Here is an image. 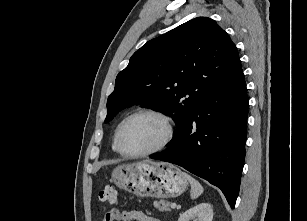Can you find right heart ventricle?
<instances>
[{"label": "right heart ventricle", "mask_w": 307, "mask_h": 221, "mask_svg": "<svg viewBox=\"0 0 307 221\" xmlns=\"http://www.w3.org/2000/svg\"><path fill=\"white\" fill-rule=\"evenodd\" d=\"M124 120H125V119H122V120L117 124V126H116V128H115V131H114L113 142H112V149H113L115 152H118V151H117V147H116L117 133H118L119 128H120V126L122 125V123H123Z\"/></svg>", "instance_id": "obj_1"}]
</instances>
